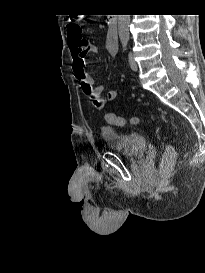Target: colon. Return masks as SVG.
Returning <instances> with one entry per match:
<instances>
[{"mask_svg":"<svg viewBox=\"0 0 205 273\" xmlns=\"http://www.w3.org/2000/svg\"><path fill=\"white\" fill-rule=\"evenodd\" d=\"M67 31L70 42H73L79 46H84L86 44V40L82 36L83 29L81 20H74L73 22H71L68 25ZM105 118L112 125L122 126L124 124L123 118L113 113L106 114ZM142 122H143L142 119L138 117H133L131 120V123L134 125H138ZM174 154H175L174 148L170 145L166 146V150L164 153L165 160L166 161L171 160L174 157Z\"/></svg>","mask_w":205,"mask_h":273,"instance_id":"1","label":"colon"}]
</instances>
